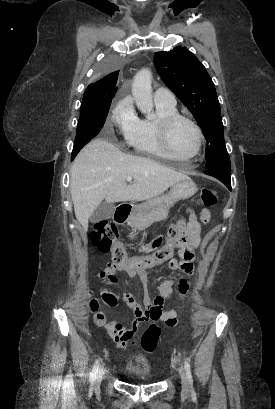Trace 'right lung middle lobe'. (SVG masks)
<instances>
[{"instance_id": "dd1d6c3e", "label": "right lung middle lobe", "mask_w": 275, "mask_h": 409, "mask_svg": "<svg viewBox=\"0 0 275 409\" xmlns=\"http://www.w3.org/2000/svg\"><path fill=\"white\" fill-rule=\"evenodd\" d=\"M101 63L97 67L99 73L122 72L119 57H105L101 60ZM111 101H82L71 160L100 132L108 115Z\"/></svg>"}]
</instances>
